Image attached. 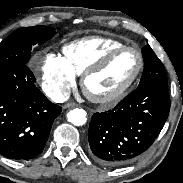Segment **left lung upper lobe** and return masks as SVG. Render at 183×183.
Returning <instances> with one entry per match:
<instances>
[{
  "instance_id": "obj_1",
  "label": "left lung upper lobe",
  "mask_w": 183,
  "mask_h": 183,
  "mask_svg": "<svg viewBox=\"0 0 183 183\" xmlns=\"http://www.w3.org/2000/svg\"><path fill=\"white\" fill-rule=\"evenodd\" d=\"M144 59V75L139 86L164 85L167 86L165 68L149 45L142 49Z\"/></svg>"
}]
</instances>
